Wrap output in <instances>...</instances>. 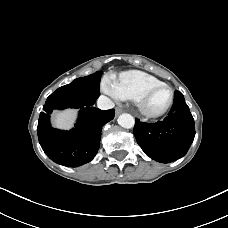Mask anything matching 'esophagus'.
I'll return each instance as SVG.
<instances>
[{"label": "esophagus", "instance_id": "1", "mask_svg": "<svg viewBox=\"0 0 228 228\" xmlns=\"http://www.w3.org/2000/svg\"><path fill=\"white\" fill-rule=\"evenodd\" d=\"M122 112H123V110L121 108H116V115H119Z\"/></svg>", "mask_w": 228, "mask_h": 228}]
</instances>
